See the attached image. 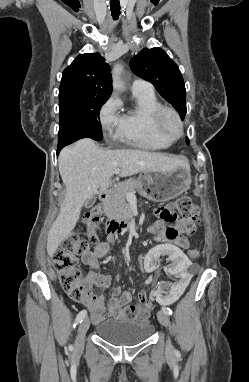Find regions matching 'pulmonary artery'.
<instances>
[{"label":"pulmonary artery","instance_id":"pulmonary-artery-1","mask_svg":"<svg viewBox=\"0 0 249 382\" xmlns=\"http://www.w3.org/2000/svg\"><path fill=\"white\" fill-rule=\"evenodd\" d=\"M131 90L133 92H147V93L154 92L152 84L141 79L133 80L131 85Z\"/></svg>","mask_w":249,"mask_h":382}]
</instances>
